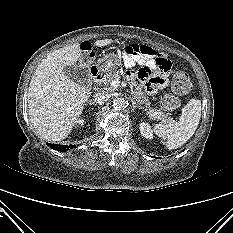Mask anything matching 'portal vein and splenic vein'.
<instances>
[{
  "label": "portal vein and splenic vein",
  "mask_w": 233,
  "mask_h": 233,
  "mask_svg": "<svg viewBox=\"0 0 233 233\" xmlns=\"http://www.w3.org/2000/svg\"><path fill=\"white\" fill-rule=\"evenodd\" d=\"M120 85V80L119 78L112 80L110 88L115 89ZM157 114V113H156Z\"/></svg>",
  "instance_id": "1"
}]
</instances>
